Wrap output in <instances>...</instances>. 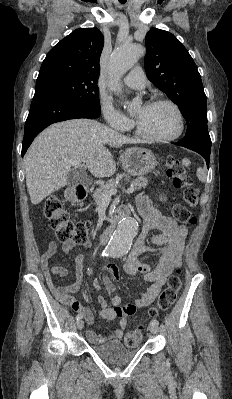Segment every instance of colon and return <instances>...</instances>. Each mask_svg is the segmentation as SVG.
<instances>
[{"mask_svg": "<svg viewBox=\"0 0 232 399\" xmlns=\"http://www.w3.org/2000/svg\"><path fill=\"white\" fill-rule=\"evenodd\" d=\"M166 171L179 181V186L183 188V196L187 200L183 203H172L175 209V218L180 223H185L188 230H193V226L198 225L197 217H190L194 209H199L203 205L201 191L198 190V184L194 176L189 175L185 168H193V163L189 160H176L173 156H168L164 160ZM43 216L50 219L52 231H56L58 239H73L75 244L88 243L87 227H91V222H74L71 224V218L62 210V204L59 199L50 197L43 204ZM172 274H180V269H172ZM166 288L163 294L159 295L148 311V316L152 320L159 319L163 312H167L169 303L173 302L178 290L181 288V281L177 276H169ZM146 330V322H133L131 333L125 337L123 347H137L138 338H142Z\"/></svg>", "mask_w": 232, "mask_h": 399, "instance_id": "1", "label": "colon"}]
</instances>
